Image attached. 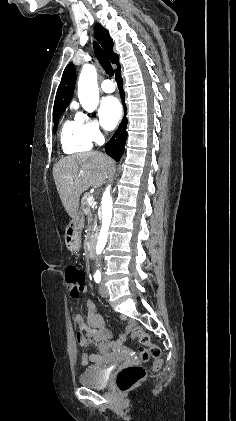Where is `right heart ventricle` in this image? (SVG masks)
<instances>
[{"mask_svg":"<svg viewBox=\"0 0 236 421\" xmlns=\"http://www.w3.org/2000/svg\"><path fill=\"white\" fill-rule=\"evenodd\" d=\"M61 146L64 153L76 155L92 149V141L76 120H65L60 131Z\"/></svg>","mask_w":236,"mask_h":421,"instance_id":"e07e8e85","label":"right heart ventricle"}]
</instances>
